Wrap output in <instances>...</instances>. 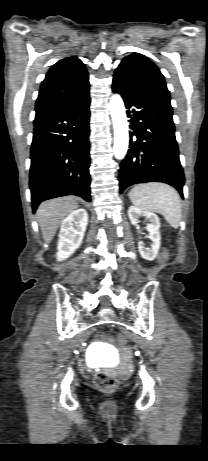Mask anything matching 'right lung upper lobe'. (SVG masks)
<instances>
[{"label": "right lung upper lobe", "mask_w": 208, "mask_h": 461, "mask_svg": "<svg viewBox=\"0 0 208 461\" xmlns=\"http://www.w3.org/2000/svg\"><path fill=\"white\" fill-rule=\"evenodd\" d=\"M89 94L88 72L75 56L55 63L43 80L36 101V116L82 101Z\"/></svg>", "instance_id": "obj_1"}]
</instances>
